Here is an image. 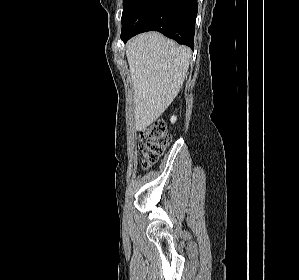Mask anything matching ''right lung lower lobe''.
Masks as SVG:
<instances>
[{
	"label": "right lung lower lobe",
	"instance_id": "obj_1",
	"mask_svg": "<svg viewBox=\"0 0 299 280\" xmlns=\"http://www.w3.org/2000/svg\"><path fill=\"white\" fill-rule=\"evenodd\" d=\"M197 9V0H125L121 39L153 30L193 49Z\"/></svg>",
	"mask_w": 299,
	"mask_h": 280
}]
</instances>
